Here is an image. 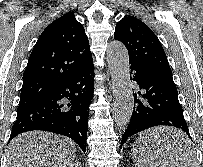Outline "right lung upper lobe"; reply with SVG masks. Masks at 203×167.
Wrapping results in <instances>:
<instances>
[{"mask_svg": "<svg viewBox=\"0 0 203 167\" xmlns=\"http://www.w3.org/2000/svg\"><path fill=\"white\" fill-rule=\"evenodd\" d=\"M91 62L84 27L68 12L48 25L35 44L23 74L19 104L48 97Z\"/></svg>", "mask_w": 203, "mask_h": 167, "instance_id": "cb5924a9", "label": "right lung upper lobe"}]
</instances>
